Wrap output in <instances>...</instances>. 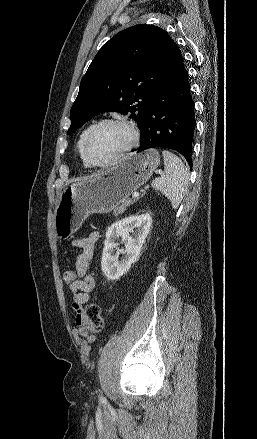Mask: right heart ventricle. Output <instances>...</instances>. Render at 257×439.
Returning a JSON list of instances; mask_svg holds the SVG:
<instances>
[{
  "label": "right heart ventricle",
  "mask_w": 257,
  "mask_h": 439,
  "mask_svg": "<svg viewBox=\"0 0 257 439\" xmlns=\"http://www.w3.org/2000/svg\"><path fill=\"white\" fill-rule=\"evenodd\" d=\"M92 126H93L92 124L88 125V126H87V127H86V128L80 133L79 138H78V142H77L78 152H79L80 158H81V160H82V162H83V164H84L85 167H89V165H88V163L86 162V160H85V158H84V156H83V152H82L83 142H84V139H85V137H86L88 131L92 128Z\"/></svg>",
  "instance_id": "1"
}]
</instances>
